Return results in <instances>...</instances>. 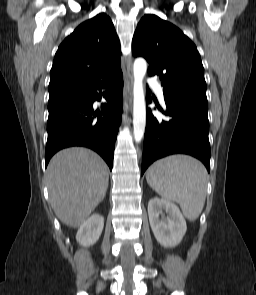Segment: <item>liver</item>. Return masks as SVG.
<instances>
[{
  "label": "liver",
  "mask_w": 256,
  "mask_h": 295,
  "mask_svg": "<svg viewBox=\"0 0 256 295\" xmlns=\"http://www.w3.org/2000/svg\"><path fill=\"white\" fill-rule=\"evenodd\" d=\"M46 176L50 204L58 219L72 228L83 224L102 202L109 182L103 159L80 147L55 154Z\"/></svg>",
  "instance_id": "6515ba94"
}]
</instances>
